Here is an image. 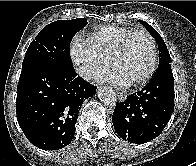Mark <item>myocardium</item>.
<instances>
[{"instance_id": "myocardium-1", "label": "myocardium", "mask_w": 196, "mask_h": 166, "mask_svg": "<svg viewBox=\"0 0 196 166\" xmlns=\"http://www.w3.org/2000/svg\"><path fill=\"white\" fill-rule=\"evenodd\" d=\"M136 34H143L149 39L152 47V62L148 70L141 77L129 83V85L132 86H137L146 83L155 73L159 59L158 47L154 37L144 29H135L132 32H130L121 42L120 46L118 47V49L116 50L111 59V66L114 67L117 61L126 53L130 40Z\"/></svg>"}]
</instances>
